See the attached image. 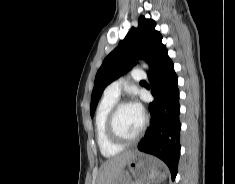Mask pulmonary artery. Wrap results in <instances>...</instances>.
<instances>
[{"label":"pulmonary artery","mask_w":235,"mask_h":184,"mask_svg":"<svg viewBox=\"0 0 235 184\" xmlns=\"http://www.w3.org/2000/svg\"><path fill=\"white\" fill-rule=\"evenodd\" d=\"M142 75V69H131V72L129 74L122 76L119 79L108 84L104 90V95L118 99L123 86L126 84L127 77L131 76L134 79H139Z\"/></svg>","instance_id":"e3ab8cb5"}]
</instances>
